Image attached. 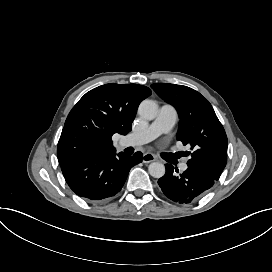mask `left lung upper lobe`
Instances as JSON below:
<instances>
[{"label": "left lung upper lobe", "mask_w": 272, "mask_h": 272, "mask_svg": "<svg viewBox=\"0 0 272 272\" xmlns=\"http://www.w3.org/2000/svg\"><path fill=\"white\" fill-rule=\"evenodd\" d=\"M151 87L178 111L177 140L195 150L188 167L218 180L227 162V136L209 101L187 86L155 83Z\"/></svg>", "instance_id": "left-lung-upper-lobe-1"}]
</instances>
